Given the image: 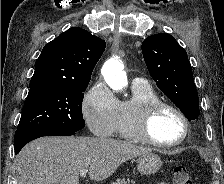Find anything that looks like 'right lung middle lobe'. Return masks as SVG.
Listing matches in <instances>:
<instances>
[{"label":"right lung middle lobe","instance_id":"dd1d6c3e","mask_svg":"<svg viewBox=\"0 0 224 184\" xmlns=\"http://www.w3.org/2000/svg\"><path fill=\"white\" fill-rule=\"evenodd\" d=\"M88 84L76 86L42 85L30 87L15 132L14 144L46 131L77 132L85 126L82 115L83 92Z\"/></svg>","mask_w":224,"mask_h":184}]
</instances>
